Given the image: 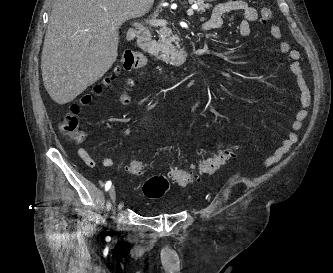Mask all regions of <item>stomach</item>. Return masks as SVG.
Masks as SVG:
<instances>
[{
	"instance_id": "1",
	"label": "stomach",
	"mask_w": 333,
	"mask_h": 273,
	"mask_svg": "<svg viewBox=\"0 0 333 273\" xmlns=\"http://www.w3.org/2000/svg\"><path fill=\"white\" fill-rule=\"evenodd\" d=\"M205 1H207V2H213V1H215V0H205Z\"/></svg>"
}]
</instances>
